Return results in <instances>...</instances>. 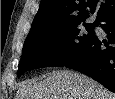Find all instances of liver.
I'll return each mask as SVG.
<instances>
[{
    "mask_svg": "<svg viewBox=\"0 0 115 99\" xmlns=\"http://www.w3.org/2000/svg\"><path fill=\"white\" fill-rule=\"evenodd\" d=\"M15 99H115V94L85 75L55 71L44 79L22 83Z\"/></svg>",
    "mask_w": 115,
    "mask_h": 99,
    "instance_id": "liver-1",
    "label": "liver"
}]
</instances>
